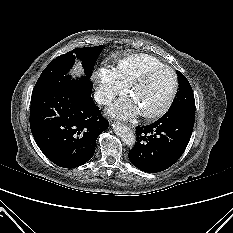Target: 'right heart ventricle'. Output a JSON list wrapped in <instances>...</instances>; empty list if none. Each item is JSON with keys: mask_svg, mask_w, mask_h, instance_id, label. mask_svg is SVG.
Here are the masks:
<instances>
[{"mask_svg": "<svg viewBox=\"0 0 233 233\" xmlns=\"http://www.w3.org/2000/svg\"><path fill=\"white\" fill-rule=\"evenodd\" d=\"M163 65L158 59L147 54H136L119 60L117 72L128 86L144 70L152 66Z\"/></svg>", "mask_w": 233, "mask_h": 233, "instance_id": "right-heart-ventricle-1", "label": "right heart ventricle"}]
</instances>
